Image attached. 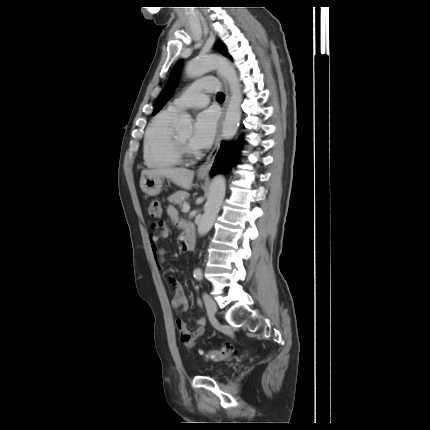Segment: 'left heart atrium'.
<instances>
[{"label":"left heart atrium","instance_id":"obj_1","mask_svg":"<svg viewBox=\"0 0 430 430\" xmlns=\"http://www.w3.org/2000/svg\"><path fill=\"white\" fill-rule=\"evenodd\" d=\"M217 118L214 110H205L197 116L190 139L192 148L201 150L208 148L212 144L216 132Z\"/></svg>","mask_w":430,"mask_h":430}]
</instances>
